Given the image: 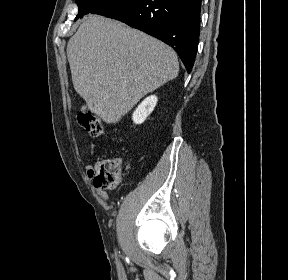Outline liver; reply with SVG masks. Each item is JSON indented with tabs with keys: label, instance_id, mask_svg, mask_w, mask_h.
<instances>
[{
	"label": "liver",
	"instance_id": "6515ba94",
	"mask_svg": "<svg viewBox=\"0 0 288 280\" xmlns=\"http://www.w3.org/2000/svg\"><path fill=\"white\" fill-rule=\"evenodd\" d=\"M76 92L104 122L117 123L146 94L175 79L176 53L123 23L89 15L67 44Z\"/></svg>",
	"mask_w": 288,
	"mask_h": 280
}]
</instances>
